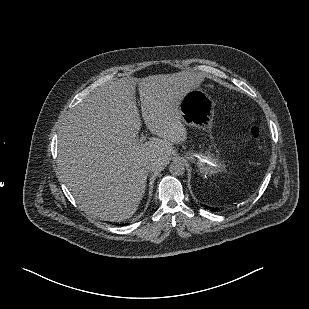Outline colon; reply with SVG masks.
I'll return each mask as SVG.
<instances>
[{"label":"colon","mask_w":309,"mask_h":309,"mask_svg":"<svg viewBox=\"0 0 309 309\" xmlns=\"http://www.w3.org/2000/svg\"><path fill=\"white\" fill-rule=\"evenodd\" d=\"M251 136L255 139L259 137V130L257 128H252L251 129Z\"/></svg>","instance_id":"1"}]
</instances>
